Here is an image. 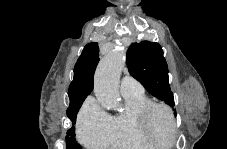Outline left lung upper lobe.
<instances>
[{
    "label": "left lung upper lobe",
    "mask_w": 227,
    "mask_h": 149,
    "mask_svg": "<svg viewBox=\"0 0 227 149\" xmlns=\"http://www.w3.org/2000/svg\"><path fill=\"white\" fill-rule=\"evenodd\" d=\"M130 74L158 99L174 106L168 82V66L161 46L155 42L133 43L127 52Z\"/></svg>",
    "instance_id": "obj_1"
}]
</instances>
